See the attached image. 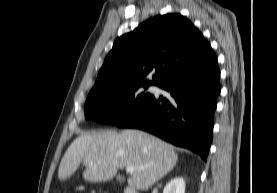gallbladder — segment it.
<instances>
[{
    "label": "gallbladder",
    "mask_w": 277,
    "mask_h": 193,
    "mask_svg": "<svg viewBox=\"0 0 277 193\" xmlns=\"http://www.w3.org/2000/svg\"><path fill=\"white\" fill-rule=\"evenodd\" d=\"M117 181H118V182H124V177H122V176H117Z\"/></svg>",
    "instance_id": "1"
}]
</instances>
